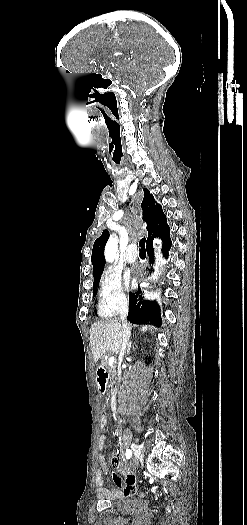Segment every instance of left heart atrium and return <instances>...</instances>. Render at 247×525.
I'll return each instance as SVG.
<instances>
[{
	"mask_svg": "<svg viewBox=\"0 0 247 525\" xmlns=\"http://www.w3.org/2000/svg\"><path fill=\"white\" fill-rule=\"evenodd\" d=\"M134 254H135L134 256H136V253ZM144 275H145V272H128L126 276L127 283H133L135 281H140L143 279Z\"/></svg>",
	"mask_w": 247,
	"mask_h": 525,
	"instance_id": "left-heart-atrium-1",
	"label": "left heart atrium"
}]
</instances>
